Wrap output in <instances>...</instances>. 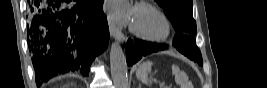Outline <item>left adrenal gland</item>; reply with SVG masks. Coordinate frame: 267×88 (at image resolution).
Listing matches in <instances>:
<instances>
[{
  "mask_svg": "<svg viewBox=\"0 0 267 88\" xmlns=\"http://www.w3.org/2000/svg\"><path fill=\"white\" fill-rule=\"evenodd\" d=\"M138 88H141V85L139 84Z\"/></svg>",
  "mask_w": 267,
  "mask_h": 88,
  "instance_id": "left-adrenal-gland-1",
  "label": "left adrenal gland"
}]
</instances>
